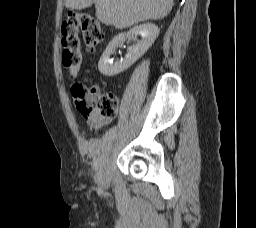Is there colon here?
Wrapping results in <instances>:
<instances>
[{"label": "colon", "instance_id": "1", "mask_svg": "<svg viewBox=\"0 0 256 228\" xmlns=\"http://www.w3.org/2000/svg\"><path fill=\"white\" fill-rule=\"evenodd\" d=\"M89 51H94L104 39V32L99 21L86 12H71L61 27L62 63L71 77H74L81 66V38ZM77 110L87 120L110 119L117 114L118 99L113 93H98L95 88L82 83H75L71 88Z\"/></svg>", "mask_w": 256, "mask_h": 228}]
</instances>
